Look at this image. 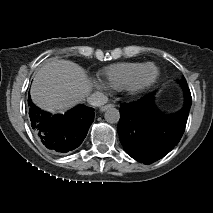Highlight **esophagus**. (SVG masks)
<instances>
[{
	"instance_id": "obj_1",
	"label": "esophagus",
	"mask_w": 213,
	"mask_h": 213,
	"mask_svg": "<svg viewBox=\"0 0 213 213\" xmlns=\"http://www.w3.org/2000/svg\"><path fill=\"white\" fill-rule=\"evenodd\" d=\"M110 107H114V104H106L104 106H101L99 110H100V112H104L105 110H107Z\"/></svg>"
}]
</instances>
